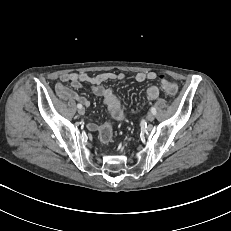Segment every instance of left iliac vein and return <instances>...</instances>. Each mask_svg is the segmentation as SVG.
<instances>
[{
    "label": "left iliac vein",
    "instance_id": "1",
    "mask_svg": "<svg viewBox=\"0 0 231 231\" xmlns=\"http://www.w3.org/2000/svg\"><path fill=\"white\" fill-rule=\"evenodd\" d=\"M154 114H152V113H149L148 114V116H147V120L149 121V122H152L153 120H154Z\"/></svg>",
    "mask_w": 231,
    "mask_h": 231
}]
</instances>
